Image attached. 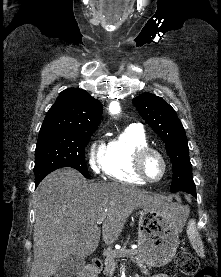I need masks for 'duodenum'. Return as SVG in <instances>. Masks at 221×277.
Returning <instances> with one entry per match:
<instances>
[{"label":"duodenum","instance_id":"duodenum-1","mask_svg":"<svg viewBox=\"0 0 221 277\" xmlns=\"http://www.w3.org/2000/svg\"><path fill=\"white\" fill-rule=\"evenodd\" d=\"M102 261L99 258H94L90 267L84 270L80 277H95L102 269Z\"/></svg>","mask_w":221,"mask_h":277}]
</instances>
